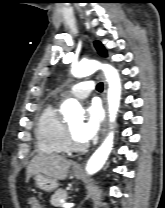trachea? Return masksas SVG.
I'll return each mask as SVG.
<instances>
[{
	"label": "trachea",
	"instance_id": "1",
	"mask_svg": "<svg viewBox=\"0 0 165 208\" xmlns=\"http://www.w3.org/2000/svg\"><path fill=\"white\" fill-rule=\"evenodd\" d=\"M96 88H97L98 91H102L103 90V84L98 83Z\"/></svg>",
	"mask_w": 165,
	"mask_h": 208
}]
</instances>
